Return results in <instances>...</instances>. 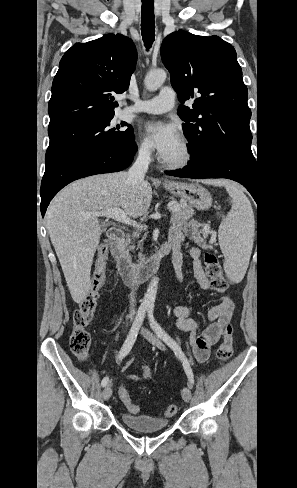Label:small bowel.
Masks as SVG:
<instances>
[{
    "instance_id": "c3829d8e",
    "label": "small bowel",
    "mask_w": 297,
    "mask_h": 488,
    "mask_svg": "<svg viewBox=\"0 0 297 488\" xmlns=\"http://www.w3.org/2000/svg\"><path fill=\"white\" fill-rule=\"evenodd\" d=\"M184 241V233L179 228L173 227L170 229L165 243L171 248L174 270L176 277L180 282H183L185 279L183 271V254L181 251ZM188 255L192 261L193 273L198 285L203 290L210 289L211 285L209 278L205 274L200 260L201 249L196 246L191 247L188 251ZM233 307V302L230 296L223 294L219 303L208 311V323L200 333H198L200 330V323L192 317L193 310L190 306L179 305L173 309L175 324L180 330L189 333L191 348L199 362H204L208 359L212 346L220 339L223 326L230 321ZM147 364V360L133 358L127 363L126 367L136 365L144 379L151 383H155L154 376ZM122 380L133 381L135 383L141 382V378L136 375L122 376ZM124 388L127 389L126 386Z\"/></svg>"
}]
</instances>
